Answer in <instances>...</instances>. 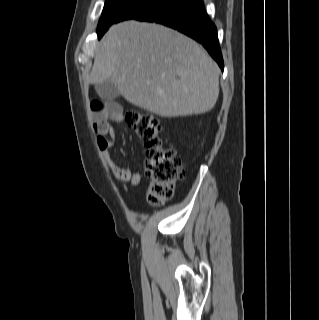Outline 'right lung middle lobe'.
I'll return each mask as SVG.
<instances>
[{"label":"right lung middle lobe","mask_w":319,"mask_h":320,"mask_svg":"<svg viewBox=\"0 0 319 320\" xmlns=\"http://www.w3.org/2000/svg\"><path fill=\"white\" fill-rule=\"evenodd\" d=\"M175 0H106L97 33L103 35L112 23L137 18L153 9L171 4Z\"/></svg>","instance_id":"obj_1"}]
</instances>
